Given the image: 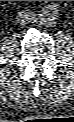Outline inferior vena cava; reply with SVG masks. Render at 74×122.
Instances as JSON below:
<instances>
[{"mask_svg":"<svg viewBox=\"0 0 74 122\" xmlns=\"http://www.w3.org/2000/svg\"><path fill=\"white\" fill-rule=\"evenodd\" d=\"M31 14L32 13L28 10H22L21 12H19L18 17H19L21 23H25V22L29 21L30 20L29 17L31 16Z\"/></svg>","mask_w":74,"mask_h":122,"instance_id":"obj_1","label":"inferior vena cava"}]
</instances>
